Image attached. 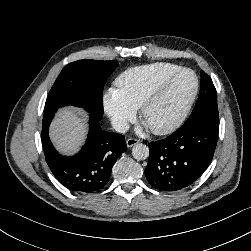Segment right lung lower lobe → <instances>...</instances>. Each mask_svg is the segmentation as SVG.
I'll return each mask as SVG.
<instances>
[{"label":"right lung lower lobe","instance_id":"obj_1","mask_svg":"<svg viewBox=\"0 0 251 251\" xmlns=\"http://www.w3.org/2000/svg\"><path fill=\"white\" fill-rule=\"evenodd\" d=\"M54 114H44L42 125V146L51 172L72 192L92 193L102 189L109 182L117 158L127 151L124 136L103 131L99 126L100 118L91 114L89 133L82 149L73 156H63L56 151L48 135Z\"/></svg>","mask_w":251,"mask_h":251}]
</instances>
